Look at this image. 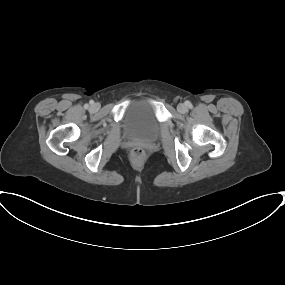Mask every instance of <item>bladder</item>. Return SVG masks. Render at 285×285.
<instances>
[{"label": "bladder", "mask_w": 285, "mask_h": 285, "mask_svg": "<svg viewBox=\"0 0 285 285\" xmlns=\"http://www.w3.org/2000/svg\"><path fill=\"white\" fill-rule=\"evenodd\" d=\"M123 126L128 136L153 141L159 134L160 125L154 105L145 99L132 102L125 110Z\"/></svg>", "instance_id": "bladder-1"}]
</instances>
